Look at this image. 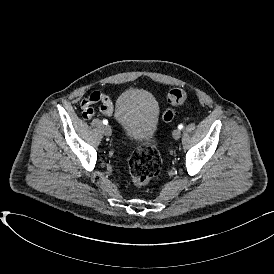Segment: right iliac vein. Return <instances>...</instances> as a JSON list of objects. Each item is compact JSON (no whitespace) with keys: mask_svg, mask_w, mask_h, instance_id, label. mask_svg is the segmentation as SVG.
<instances>
[{"mask_svg":"<svg viewBox=\"0 0 274 274\" xmlns=\"http://www.w3.org/2000/svg\"><path fill=\"white\" fill-rule=\"evenodd\" d=\"M103 131H104L105 135H107V136H110L112 134V129L109 125L104 126Z\"/></svg>","mask_w":274,"mask_h":274,"instance_id":"right-iliac-vein-1","label":"right iliac vein"}]
</instances>
